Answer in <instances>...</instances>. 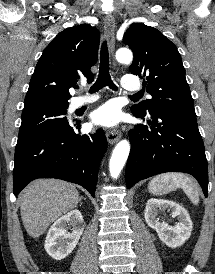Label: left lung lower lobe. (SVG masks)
Instances as JSON below:
<instances>
[{"label":"left lung lower lobe","instance_id":"left-lung-lower-lobe-1","mask_svg":"<svg viewBox=\"0 0 215 274\" xmlns=\"http://www.w3.org/2000/svg\"><path fill=\"white\" fill-rule=\"evenodd\" d=\"M132 112L148 125L139 124L129 131L127 188L160 173L184 172L198 180L207 197L208 164L196 117L165 109Z\"/></svg>","mask_w":215,"mask_h":274}]
</instances>
